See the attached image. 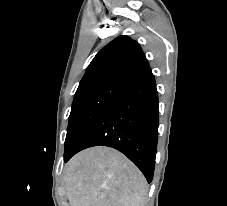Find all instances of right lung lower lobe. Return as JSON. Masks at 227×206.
<instances>
[{"mask_svg": "<svg viewBox=\"0 0 227 206\" xmlns=\"http://www.w3.org/2000/svg\"><path fill=\"white\" fill-rule=\"evenodd\" d=\"M158 93L152 72L129 82L83 133L67 162L92 146H109L125 154L152 181L158 140Z\"/></svg>", "mask_w": 227, "mask_h": 206, "instance_id": "1", "label": "right lung lower lobe"}]
</instances>
